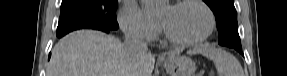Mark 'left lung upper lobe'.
Returning <instances> with one entry per match:
<instances>
[{"label":"left lung upper lobe","instance_id":"left-lung-upper-lobe-1","mask_svg":"<svg viewBox=\"0 0 287 76\" xmlns=\"http://www.w3.org/2000/svg\"><path fill=\"white\" fill-rule=\"evenodd\" d=\"M216 16L218 43L227 47L241 46L234 0H203Z\"/></svg>","mask_w":287,"mask_h":76}]
</instances>
